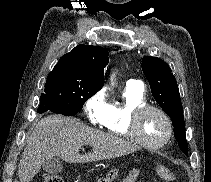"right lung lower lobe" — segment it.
Wrapping results in <instances>:
<instances>
[{
    "label": "right lung lower lobe",
    "instance_id": "98d812e1",
    "mask_svg": "<svg viewBox=\"0 0 211 182\" xmlns=\"http://www.w3.org/2000/svg\"><path fill=\"white\" fill-rule=\"evenodd\" d=\"M47 111L61 114V112L58 110V108L54 105L53 102L51 101L40 102L38 112L42 114Z\"/></svg>",
    "mask_w": 211,
    "mask_h": 182
}]
</instances>
